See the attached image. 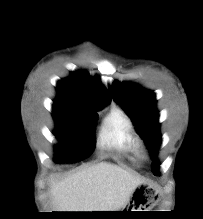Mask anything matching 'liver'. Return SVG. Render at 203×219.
<instances>
[{"label": "liver", "mask_w": 203, "mask_h": 219, "mask_svg": "<svg viewBox=\"0 0 203 219\" xmlns=\"http://www.w3.org/2000/svg\"><path fill=\"white\" fill-rule=\"evenodd\" d=\"M142 183L120 166L101 162L52 182L50 194L57 212L119 211Z\"/></svg>", "instance_id": "6515ba94"}]
</instances>
